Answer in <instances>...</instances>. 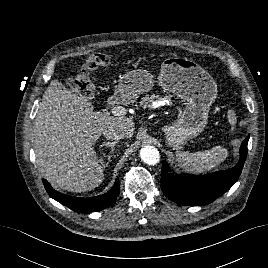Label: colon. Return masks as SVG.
<instances>
[{
  "instance_id": "obj_1",
  "label": "colon",
  "mask_w": 268,
  "mask_h": 268,
  "mask_svg": "<svg viewBox=\"0 0 268 268\" xmlns=\"http://www.w3.org/2000/svg\"><path fill=\"white\" fill-rule=\"evenodd\" d=\"M110 62L111 56L107 53H91L82 62L78 72L68 79L69 88L83 98H93L95 85L91 80L90 74L95 70L106 67Z\"/></svg>"
}]
</instances>
